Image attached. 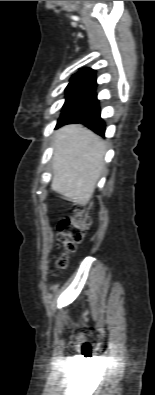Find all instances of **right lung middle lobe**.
Wrapping results in <instances>:
<instances>
[{
	"mask_svg": "<svg viewBox=\"0 0 155 395\" xmlns=\"http://www.w3.org/2000/svg\"><path fill=\"white\" fill-rule=\"evenodd\" d=\"M65 91L66 101L58 122L75 116L97 100L95 87L85 85H68Z\"/></svg>",
	"mask_w": 155,
	"mask_h": 395,
	"instance_id": "dd1d6c3e",
	"label": "right lung middle lobe"
}]
</instances>
